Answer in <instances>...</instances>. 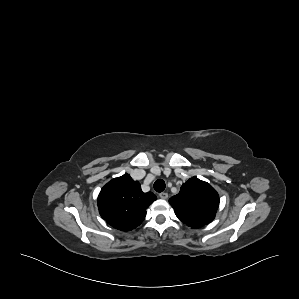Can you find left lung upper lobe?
Instances as JSON below:
<instances>
[{
	"mask_svg": "<svg viewBox=\"0 0 299 299\" xmlns=\"http://www.w3.org/2000/svg\"><path fill=\"white\" fill-rule=\"evenodd\" d=\"M169 202L176 216L187 226L196 229L214 219L219 206V195L210 184L192 177Z\"/></svg>",
	"mask_w": 299,
	"mask_h": 299,
	"instance_id": "1",
	"label": "left lung upper lobe"
}]
</instances>
